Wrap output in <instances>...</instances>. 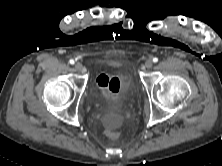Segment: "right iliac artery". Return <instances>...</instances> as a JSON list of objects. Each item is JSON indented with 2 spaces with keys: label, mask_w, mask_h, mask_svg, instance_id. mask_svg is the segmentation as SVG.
<instances>
[{
  "label": "right iliac artery",
  "mask_w": 222,
  "mask_h": 166,
  "mask_svg": "<svg viewBox=\"0 0 222 166\" xmlns=\"http://www.w3.org/2000/svg\"><path fill=\"white\" fill-rule=\"evenodd\" d=\"M69 62H70V64H72V65L75 63L73 59H71Z\"/></svg>",
  "instance_id": "1"
}]
</instances>
